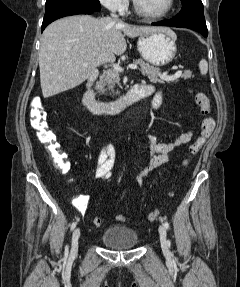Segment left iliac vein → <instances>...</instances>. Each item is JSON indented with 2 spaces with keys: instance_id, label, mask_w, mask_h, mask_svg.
<instances>
[{
  "instance_id": "4c4485c4",
  "label": "left iliac vein",
  "mask_w": 240,
  "mask_h": 287,
  "mask_svg": "<svg viewBox=\"0 0 240 287\" xmlns=\"http://www.w3.org/2000/svg\"><path fill=\"white\" fill-rule=\"evenodd\" d=\"M159 236H160V243H161L163 252H168L166 229L162 225L159 226Z\"/></svg>"
}]
</instances>
